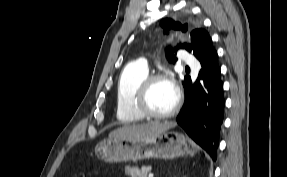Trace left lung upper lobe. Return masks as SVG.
<instances>
[{"label":"left lung upper lobe","mask_w":287,"mask_h":177,"mask_svg":"<svg viewBox=\"0 0 287 177\" xmlns=\"http://www.w3.org/2000/svg\"><path fill=\"white\" fill-rule=\"evenodd\" d=\"M161 26L164 28V33L168 34L169 29L182 30L186 32L188 30V24H181L180 22H175L172 19H163L161 21ZM192 44H179L176 48L172 49L169 53V60L175 61V54L179 48L186 49L187 51L193 53L196 58H200L201 55L206 53L207 47L212 43V40L208 32L204 29H195L191 32Z\"/></svg>","instance_id":"1"}]
</instances>
